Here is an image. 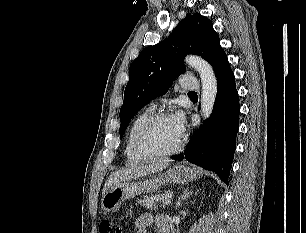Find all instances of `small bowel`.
<instances>
[{"label":"small bowel","mask_w":306,"mask_h":233,"mask_svg":"<svg viewBox=\"0 0 306 233\" xmlns=\"http://www.w3.org/2000/svg\"><path fill=\"white\" fill-rule=\"evenodd\" d=\"M155 222L159 231L162 226L167 225V219L164 215H158L155 218L150 213H143L135 221V233H147L148 227Z\"/></svg>","instance_id":"1"}]
</instances>
